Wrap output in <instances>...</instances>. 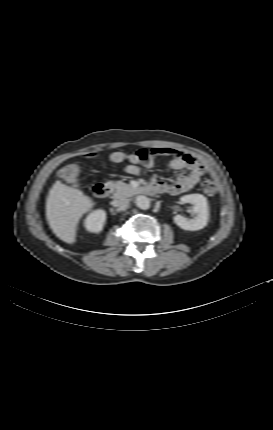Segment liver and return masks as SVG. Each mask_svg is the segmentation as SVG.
Segmentation results:
<instances>
[{"label":"liver","instance_id":"6515ba94","mask_svg":"<svg viewBox=\"0 0 273 430\" xmlns=\"http://www.w3.org/2000/svg\"><path fill=\"white\" fill-rule=\"evenodd\" d=\"M93 206V200L83 191L56 181L46 201L49 226L59 239L74 244L79 221Z\"/></svg>","mask_w":273,"mask_h":430}]
</instances>
